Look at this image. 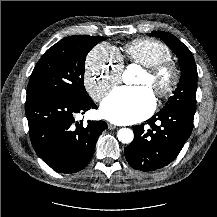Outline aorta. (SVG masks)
<instances>
[{
  "mask_svg": "<svg viewBox=\"0 0 217 217\" xmlns=\"http://www.w3.org/2000/svg\"><path fill=\"white\" fill-rule=\"evenodd\" d=\"M137 70H138L137 65H134V64L129 65L123 73V81L126 84H132L134 82L135 74H136ZM117 137L121 143L129 144L133 141L134 134H133V131L131 129L122 128L118 131Z\"/></svg>",
  "mask_w": 217,
  "mask_h": 217,
  "instance_id": "762f6f07",
  "label": "aorta"
}]
</instances>
